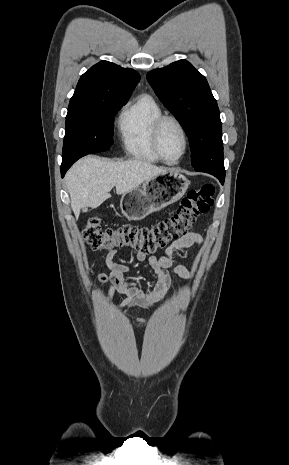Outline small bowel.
<instances>
[{"label":"small bowel","mask_w":289,"mask_h":465,"mask_svg":"<svg viewBox=\"0 0 289 465\" xmlns=\"http://www.w3.org/2000/svg\"><path fill=\"white\" fill-rule=\"evenodd\" d=\"M203 242L201 235L190 232L174 240L160 256H148L137 252L136 260L146 262L148 268L155 274L156 283L149 290L138 287L135 279L128 278L126 273L130 267L113 261L115 251L109 252L105 257V263L110 269L109 274L98 272L100 282L106 284L109 299L115 292L125 295V299L118 305L119 309L131 307H151L161 301L168 292L174 288L173 277L190 279L191 273L184 265H173V255L176 251L184 248L198 246ZM139 323L144 320L139 319Z\"/></svg>","instance_id":"c3829d8e"}]
</instances>
